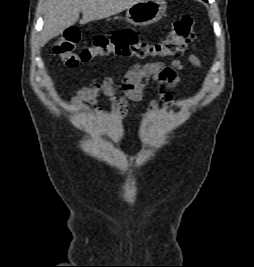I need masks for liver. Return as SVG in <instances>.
<instances>
[{"instance_id": "obj_1", "label": "liver", "mask_w": 254, "mask_h": 267, "mask_svg": "<svg viewBox=\"0 0 254 267\" xmlns=\"http://www.w3.org/2000/svg\"><path fill=\"white\" fill-rule=\"evenodd\" d=\"M142 0H47L40 46L74 25L82 12L81 24L116 15Z\"/></svg>"}]
</instances>
